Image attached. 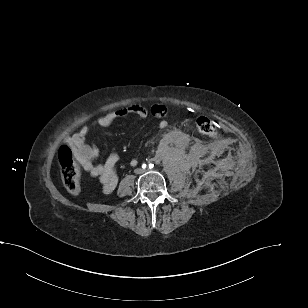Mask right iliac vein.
Wrapping results in <instances>:
<instances>
[{"label": "right iliac vein", "instance_id": "right-iliac-vein-1", "mask_svg": "<svg viewBox=\"0 0 308 308\" xmlns=\"http://www.w3.org/2000/svg\"><path fill=\"white\" fill-rule=\"evenodd\" d=\"M141 172H142L141 169H137V170H136V173H138V174L141 173Z\"/></svg>", "mask_w": 308, "mask_h": 308}]
</instances>
